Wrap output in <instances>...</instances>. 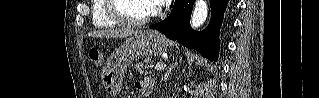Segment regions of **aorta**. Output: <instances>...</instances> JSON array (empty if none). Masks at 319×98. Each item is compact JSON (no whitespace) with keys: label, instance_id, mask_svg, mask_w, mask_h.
Masks as SVG:
<instances>
[{"label":"aorta","instance_id":"obj_1","mask_svg":"<svg viewBox=\"0 0 319 98\" xmlns=\"http://www.w3.org/2000/svg\"><path fill=\"white\" fill-rule=\"evenodd\" d=\"M208 15V6L206 0H197L195 2L191 26L195 29L199 28L206 20Z\"/></svg>","mask_w":319,"mask_h":98}]
</instances>
